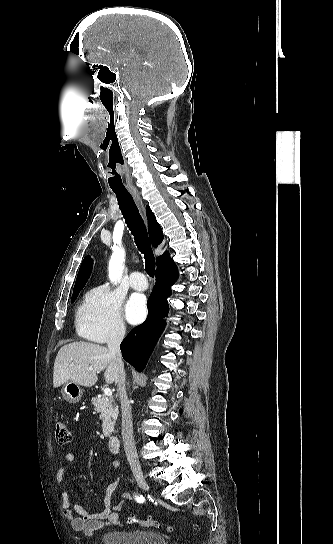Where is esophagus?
Here are the masks:
<instances>
[{
  "mask_svg": "<svg viewBox=\"0 0 333 544\" xmlns=\"http://www.w3.org/2000/svg\"><path fill=\"white\" fill-rule=\"evenodd\" d=\"M129 191H130L131 195L133 196L134 200L136 201L138 207L142 211V213L145 214L143 200H142V198L140 196L139 191L136 188H130Z\"/></svg>",
  "mask_w": 333,
  "mask_h": 544,
  "instance_id": "esophagus-1",
  "label": "esophagus"
}]
</instances>
